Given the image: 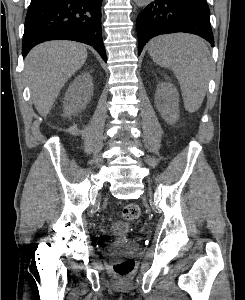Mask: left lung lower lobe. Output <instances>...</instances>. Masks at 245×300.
Segmentation results:
<instances>
[{"instance_id":"left-lung-lower-lobe-1","label":"left lung lower lobe","mask_w":245,"mask_h":300,"mask_svg":"<svg viewBox=\"0 0 245 300\" xmlns=\"http://www.w3.org/2000/svg\"><path fill=\"white\" fill-rule=\"evenodd\" d=\"M206 0H154L137 17L138 55L160 34L186 32L201 36L214 46Z\"/></svg>"}]
</instances>
